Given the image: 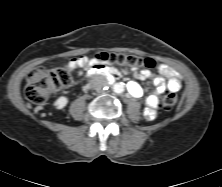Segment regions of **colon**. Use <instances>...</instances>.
<instances>
[{"mask_svg": "<svg viewBox=\"0 0 222 187\" xmlns=\"http://www.w3.org/2000/svg\"><path fill=\"white\" fill-rule=\"evenodd\" d=\"M93 61L95 63L94 69L103 68L107 64H118L131 69L154 66V61L150 58L106 52L97 54ZM71 83L72 74L67 67L51 69L38 66L28 76L25 96L28 101L34 104H44L54 92L69 87ZM176 102L177 95L175 93H166L162 97V106L166 109L174 107Z\"/></svg>", "mask_w": 222, "mask_h": 187, "instance_id": "obj_1", "label": "colon"}]
</instances>
